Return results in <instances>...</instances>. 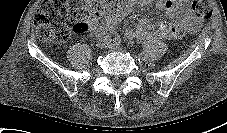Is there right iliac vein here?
<instances>
[{
  "label": "right iliac vein",
  "mask_w": 227,
  "mask_h": 133,
  "mask_svg": "<svg viewBox=\"0 0 227 133\" xmlns=\"http://www.w3.org/2000/svg\"><path fill=\"white\" fill-rule=\"evenodd\" d=\"M109 41L105 40L104 38L102 39H98L97 41V47L100 48V49H104V48H107L108 45H109Z\"/></svg>",
  "instance_id": "63e3f726"
}]
</instances>
